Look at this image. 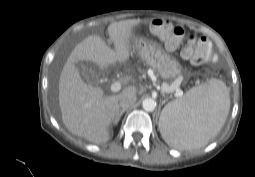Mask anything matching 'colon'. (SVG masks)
<instances>
[{"mask_svg": "<svg viewBox=\"0 0 255 177\" xmlns=\"http://www.w3.org/2000/svg\"><path fill=\"white\" fill-rule=\"evenodd\" d=\"M151 28L170 50L178 48L184 37L183 28L169 21H154ZM181 56L196 65L208 63L213 59L211 44L207 39L197 40L194 35H191L181 49Z\"/></svg>", "mask_w": 255, "mask_h": 177, "instance_id": "obj_1", "label": "colon"}]
</instances>
